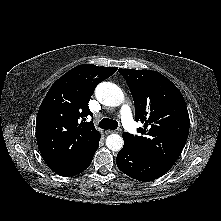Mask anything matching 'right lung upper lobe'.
<instances>
[{
	"label": "right lung upper lobe",
	"instance_id": "obj_1",
	"mask_svg": "<svg viewBox=\"0 0 221 221\" xmlns=\"http://www.w3.org/2000/svg\"><path fill=\"white\" fill-rule=\"evenodd\" d=\"M117 68L79 65L49 89L38 111L36 137L39 151L55 173L77 162L100 139L92 121L86 122L88 102L97 84Z\"/></svg>",
	"mask_w": 221,
	"mask_h": 221
}]
</instances>
